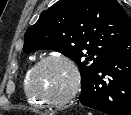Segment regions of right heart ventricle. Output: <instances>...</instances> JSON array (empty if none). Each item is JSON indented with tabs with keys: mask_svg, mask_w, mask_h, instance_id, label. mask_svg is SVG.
<instances>
[{
	"mask_svg": "<svg viewBox=\"0 0 131 115\" xmlns=\"http://www.w3.org/2000/svg\"><path fill=\"white\" fill-rule=\"evenodd\" d=\"M31 68L32 67H29L23 75L22 91H23V94L29 104H31L32 106H35V107H39L42 105V103L40 101H38L35 97H33L28 89V75H29Z\"/></svg>",
	"mask_w": 131,
	"mask_h": 115,
	"instance_id": "1",
	"label": "right heart ventricle"
}]
</instances>
